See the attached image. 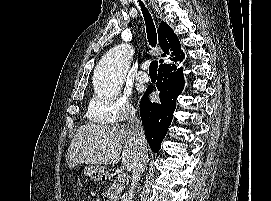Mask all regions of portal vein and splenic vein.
<instances>
[{"label": "portal vein and splenic vein", "instance_id": "1", "mask_svg": "<svg viewBox=\"0 0 271 201\" xmlns=\"http://www.w3.org/2000/svg\"><path fill=\"white\" fill-rule=\"evenodd\" d=\"M117 179L119 182H123L126 179V174L124 172H119Z\"/></svg>", "mask_w": 271, "mask_h": 201}]
</instances>
